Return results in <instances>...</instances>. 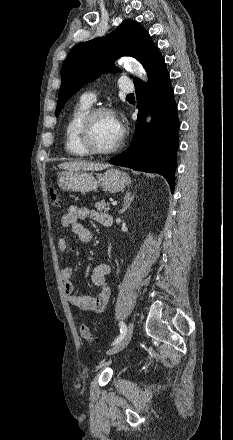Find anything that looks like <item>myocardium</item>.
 Here are the masks:
<instances>
[{
  "mask_svg": "<svg viewBox=\"0 0 233 440\" xmlns=\"http://www.w3.org/2000/svg\"><path fill=\"white\" fill-rule=\"evenodd\" d=\"M103 114H108L115 117V112L112 109L106 107L93 108L90 109L87 112V114L83 117L78 128V141L80 145L84 148L85 151H87L89 154L92 155H99V156L111 155L118 152L124 145L125 131L122 127L118 141L111 148L99 149L93 144L91 140L92 124L93 121L96 119V117Z\"/></svg>",
  "mask_w": 233,
  "mask_h": 440,
  "instance_id": "f54148a6",
  "label": "myocardium"
}]
</instances>
